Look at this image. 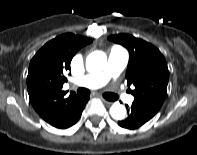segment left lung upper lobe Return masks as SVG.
Returning <instances> with one entry per match:
<instances>
[{"label": "left lung upper lobe", "instance_id": "5c2ea615", "mask_svg": "<svg viewBox=\"0 0 197 155\" xmlns=\"http://www.w3.org/2000/svg\"><path fill=\"white\" fill-rule=\"evenodd\" d=\"M108 39L128 49L126 78L128 86H135L131 92L133 104L154 116L164 102L169 80L164 56L152 44L129 34L111 35Z\"/></svg>", "mask_w": 197, "mask_h": 155}]
</instances>
